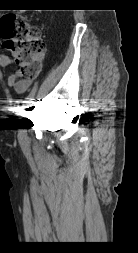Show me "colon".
Returning a JSON list of instances; mask_svg holds the SVG:
<instances>
[{
    "label": "colon",
    "instance_id": "colon-1",
    "mask_svg": "<svg viewBox=\"0 0 138 253\" xmlns=\"http://www.w3.org/2000/svg\"><path fill=\"white\" fill-rule=\"evenodd\" d=\"M0 36L6 50L16 59L23 76L35 77L46 50L38 31L31 28L24 17L8 14L0 19Z\"/></svg>",
    "mask_w": 138,
    "mask_h": 253
}]
</instances>
